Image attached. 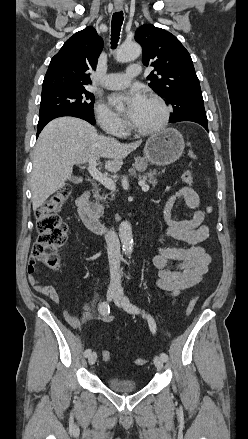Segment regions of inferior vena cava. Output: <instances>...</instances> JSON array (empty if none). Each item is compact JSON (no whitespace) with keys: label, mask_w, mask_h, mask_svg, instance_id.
<instances>
[{"label":"inferior vena cava","mask_w":248,"mask_h":439,"mask_svg":"<svg viewBox=\"0 0 248 439\" xmlns=\"http://www.w3.org/2000/svg\"><path fill=\"white\" fill-rule=\"evenodd\" d=\"M105 240L107 244V253L110 267V284L111 286H121V276H120V243L117 234L112 228L105 235Z\"/></svg>","instance_id":"602c4592"}]
</instances>
